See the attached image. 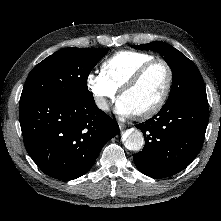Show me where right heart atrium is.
Returning <instances> with one entry per match:
<instances>
[{
	"label": "right heart atrium",
	"mask_w": 221,
	"mask_h": 221,
	"mask_svg": "<svg viewBox=\"0 0 221 221\" xmlns=\"http://www.w3.org/2000/svg\"><path fill=\"white\" fill-rule=\"evenodd\" d=\"M86 87L92 94L96 106L102 111L108 109L117 93V90L106 80L101 72L88 73Z\"/></svg>",
	"instance_id": "1"
}]
</instances>
